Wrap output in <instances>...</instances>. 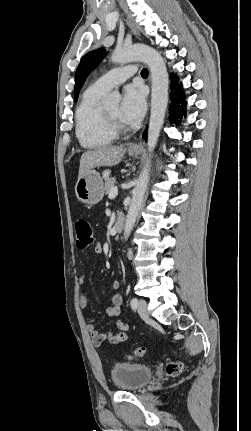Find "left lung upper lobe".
<instances>
[{"mask_svg": "<svg viewBox=\"0 0 251 431\" xmlns=\"http://www.w3.org/2000/svg\"><path fill=\"white\" fill-rule=\"evenodd\" d=\"M107 52L105 48H99L91 51L81 58L80 64L76 70L75 75V89H74V99L77 101L80 89L89 75V73L94 70L102 59L106 56Z\"/></svg>", "mask_w": 251, "mask_h": 431, "instance_id": "obj_1", "label": "left lung upper lobe"}]
</instances>
